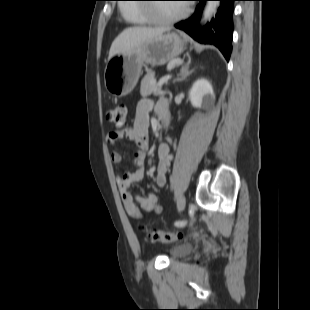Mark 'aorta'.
Listing matches in <instances>:
<instances>
[{
    "mask_svg": "<svg viewBox=\"0 0 310 310\" xmlns=\"http://www.w3.org/2000/svg\"><path fill=\"white\" fill-rule=\"evenodd\" d=\"M218 6V1H208L203 11L202 22H206L207 20H209L211 16L215 13Z\"/></svg>",
    "mask_w": 310,
    "mask_h": 310,
    "instance_id": "1",
    "label": "aorta"
}]
</instances>
